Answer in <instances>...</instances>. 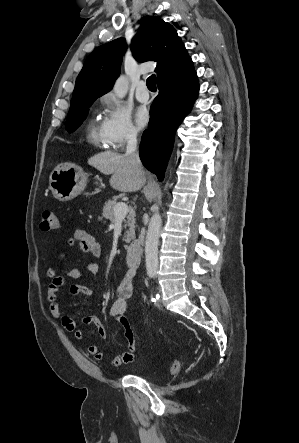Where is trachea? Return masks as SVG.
Masks as SVG:
<instances>
[{
  "mask_svg": "<svg viewBox=\"0 0 299 443\" xmlns=\"http://www.w3.org/2000/svg\"><path fill=\"white\" fill-rule=\"evenodd\" d=\"M147 87L150 91H156V76L152 74L146 81Z\"/></svg>",
  "mask_w": 299,
  "mask_h": 443,
  "instance_id": "trachea-1",
  "label": "trachea"
}]
</instances>
